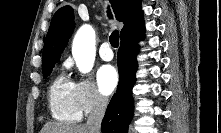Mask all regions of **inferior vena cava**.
I'll list each match as a JSON object with an SVG mask.
<instances>
[{
  "instance_id": "602c4592",
  "label": "inferior vena cava",
  "mask_w": 221,
  "mask_h": 133,
  "mask_svg": "<svg viewBox=\"0 0 221 133\" xmlns=\"http://www.w3.org/2000/svg\"><path fill=\"white\" fill-rule=\"evenodd\" d=\"M107 99L99 94H95L91 111L88 115L86 127L90 133H101V122L107 106Z\"/></svg>"
}]
</instances>
